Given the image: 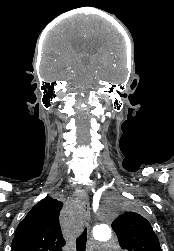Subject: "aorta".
<instances>
[{
    "mask_svg": "<svg viewBox=\"0 0 174 251\" xmlns=\"http://www.w3.org/2000/svg\"><path fill=\"white\" fill-rule=\"evenodd\" d=\"M101 218L93 228V238L96 242H106L111 236V227L108 224L109 215L102 211Z\"/></svg>",
    "mask_w": 174,
    "mask_h": 251,
    "instance_id": "aorta-1",
    "label": "aorta"
}]
</instances>
